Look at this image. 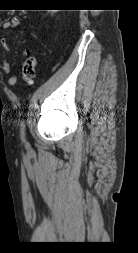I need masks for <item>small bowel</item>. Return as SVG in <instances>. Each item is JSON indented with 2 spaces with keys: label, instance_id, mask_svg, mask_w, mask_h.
I'll list each match as a JSON object with an SVG mask.
<instances>
[{
  "label": "small bowel",
  "instance_id": "c3829d8e",
  "mask_svg": "<svg viewBox=\"0 0 138 253\" xmlns=\"http://www.w3.org/2000/svg\"><path fill=\"white\" fill-rule=\"evenodd\" d=\"M20 23V19L18 17H14L9 21H6L2 24V29L5 31L4 35L1 37L0 42L1 45L3 46V48L6 51L10 50L9 44H8V34L16 27L18 26ZM27 52H25L26 54ZM1 68L3 70V72H5L6 74H11L12 72V68L10 66V63L8 62L7 59H3L2 60V64H1ZM17 82V77L15 75H11L8 79V84L10 86H14Z\"/></svg>",
  "mask_w": 138,
  "mask_h": 253
}]
</instances>
